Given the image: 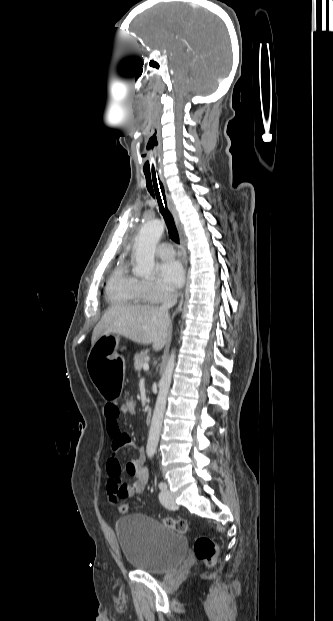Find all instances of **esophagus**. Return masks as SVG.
<instances>
[{"label": "esophagus", "instance_id": "obj_1", "mask_svg": "<svg viewBox=\"0 0 333 621\" xmlns=\"http://www.w3.org/2000/svg\"><path fill=\"white\" fill-rule=\"evenodd\" d=\"M161 181L164 183V180L162 178H161ZM166 196H167L168 207L171 210V213H172V215H173V217L175 219V223H176L179 235H180L181 249H182V252H183L184 258H185V241H184L183 226H182V223L180 222L179 213H178V210H177V208H176V206H175V204L173 202V199L171 198L170 194H168V193L166 194ZM182 301H183V297H182V299L180 301V304H179L178 308L176 309L175 314L178 313L181 310Z\"/></svg>", "mask_w": 333, "mask_h": 621}]
</instances>
